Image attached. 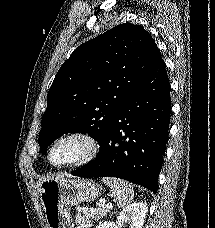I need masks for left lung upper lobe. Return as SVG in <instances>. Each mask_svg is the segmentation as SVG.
<instances>
[{"label":"left lung upper lobe","mask_w":215,"mask_h":228,"mask_svg":"<svg viewBox=\"0 0 215 228\" xmlns=\"http://www.w3.org/2000/svg\"><path fill=\"white\" fill-rule=\"evenodd\" d=\"M158 55L152 36L130 23L80 45L63 63L48 92L40 152L45 154L65 133H88L100 144Z\"/></svg>","instance_id":"5c2ea615"}]
</instances>
